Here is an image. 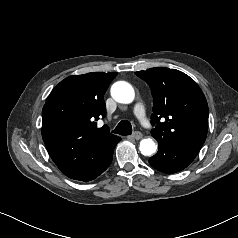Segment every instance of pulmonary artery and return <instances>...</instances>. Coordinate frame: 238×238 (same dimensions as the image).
Listing matches in <instances>:
<instances>
[{
	"label": "pulmonary artery",
	"instance_id": "pulmonary-artery-1",
	"mask_svg": "<svg viewBox=\"0 0 238 238\" xmlns=\"http://www.w3.org/2000/svg\"><path fill=\"white\" fill-rule=\"evenodd\" d=\"M133 115L142 122L146 127H150V123L147 119L146 108L143 103H137L133 109Z\"/></svg>",
	"mask_w": 238,
	"mask_h": 238
}]
</instances>
